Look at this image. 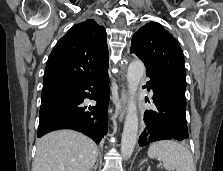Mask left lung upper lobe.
Segmentation results:
<instances>
[{"label": "left lung upper lobe", "mask_w": 223, "mask_h": 171, "mask_svg": "<svg viewBox=\"0 0 223 171\" xmlns=\"http://www.w3.org/2000/svg\"><path fill=\"white\" fill-rule=\"evenodd\" d=\"M131 44L130 52L144 62L146 71L186 89L183 52L175 38L159 23L142 26L134 34Z\"/></svg>", "instance_id": "5c2ea615"}]
</instances>
